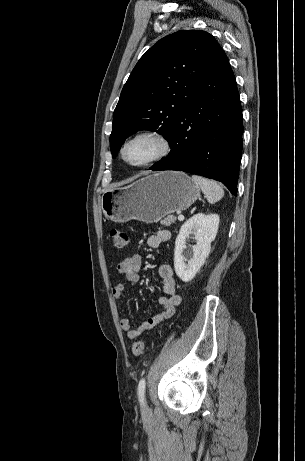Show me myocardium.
<instances>
[{"label": "myocardium", "mask_w": 305, "mask_h": 461, "mask_svg": "<svg viewBox=\"0 0 305 461\" xmlns=\"http://www.w3.org/2000/svg\"><path fill=\"white\" fill-rule=\"evenodd\" d=\"M140 139H146V140L153 141L157 146V150L148 159L142 162H139V163H131L125 157V149L130 143L136 140H140ZM171 150H172V144L169 138L162 131L158 129L149 128V129H142L132 134L131 136H129L121 145L120 157L122 161L128 166H131L134 168H144V167L151 166L161 161L162 159H164L166 156L169 155Z\"/></svg>", "instance_id": "obj_1"}]
</instances>
